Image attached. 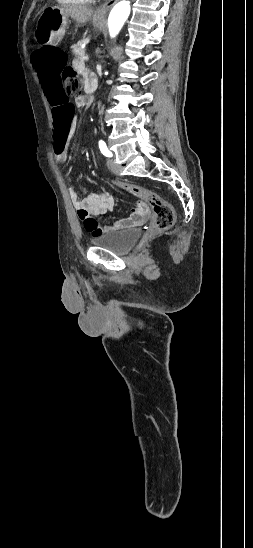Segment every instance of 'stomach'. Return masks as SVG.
I'll return each instance as SVG.
<instances>
[{
    "label": "stomach",
    "mask_w": 253,
    "mask_h": 548,
    "mask_svg": "<svg viewBox=\"0 0 253 548\" xmlns=\"http://www.w3.org/2000/svg\"><path fill=\"white\" fill-rule=\"evenodd\" d=\"M95 29L100 27L101 21L94 18ZM67 26V15L58 9L50 8L45 10L38 23L36 39L40 44H51L61 41L65 35Z\"/></svg>",
    "instance_id": "obj_1"
}]
</instances>
